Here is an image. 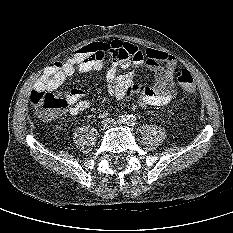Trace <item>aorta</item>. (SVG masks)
<instances>
[{"label":"aorta","instance_id":"aorta-1","mask_svg":"<svg viewBox=\"0 0 233 233\" xmlns=\"http://www.w3.org/2000/svg\"><path fill=\"white\" fill-rule=\"evenodd\" d=\"M135 122H136V117H135V116H133V115L127 116V118H126V123H127L128 125H134Z\"/></svg>","mask_w":233,"mask_h":233}]
</instances>
